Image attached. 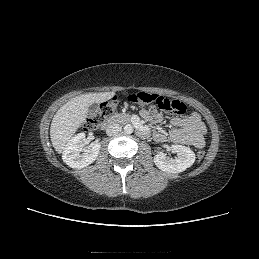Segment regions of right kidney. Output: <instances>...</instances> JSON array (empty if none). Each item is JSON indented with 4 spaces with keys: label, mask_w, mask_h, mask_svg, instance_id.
Listing matches in <instances>:
<instances>
[{
    "label": "right kidney",
    "mask_w": 259,
    "mask_h": 259,
    "mask_svg": "<svg viewBox=\"0 0 259 259\" xmlns=\"http://www.w3.org/2000/svg\"><path fill=\"white\" fill-rule=\"evenodd\" d=\"M85 134L79 133L72 137L63 150L62 159L71 168L81 169L93 163L98 157L101 145L91 143L86 149Z\"/></svg>",
    "instance_id": "right-kidney-1"
}]
</instances>
